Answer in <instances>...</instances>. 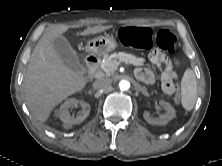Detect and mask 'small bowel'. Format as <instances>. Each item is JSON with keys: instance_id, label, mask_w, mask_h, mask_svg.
<instances>
[{"instance_id": "small-bowel-1", "label": "small bowel", "mask_w": 222, "mask_h": 166, "mask_svg": "<svg viewBox=\"0 0 222 166\" xmlns=\"http://www.w3.org/2000/svg\"><path fill=\"white\" fill-rule=\"evenodd\" d=\"M150 59L152 62L157 64L163 69V75L162 78L165 75H171L173 78L175 77V73L173 71V65L172 63L166 58V56L161 53L160 51H153L150 54ZM136 77L146 83H152L155 79L154 74L151 70L145 69V68H140L136 70ZM163 90L167 94H172L173 89L171 88H166L163 86Z\"/></svg>"}]
</instances>
